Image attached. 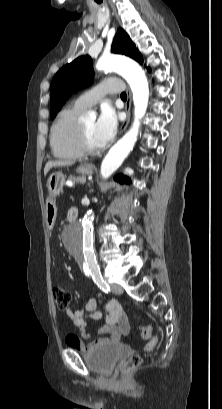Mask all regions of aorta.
Masks as SVG:
<instances>
[{"label": "aorta", "instance_id": "aorta-1", "mask_svg": "<svg viewBox=\"0 0 222 409\" xmlns=\"http://www.w3.org/2000/svg\"><path fill=\"white\" fill-rule=\"evenodd\" d=\"M96 68L99 71H114L129 83L133 93L134 122L131 129L109 150L101 163V176L109 178L123 163L133 150L137 141L140 119L145 115L149 87L142 68L133 60L115 55L102 56ZM68 237L67 248L71 254L80 259L90 271L98 269L93 249V216L88 215L82 221L71 225L66 231Z\"/></svg>", "mask_w": 222, "mask_h": 409}]
</instances>
